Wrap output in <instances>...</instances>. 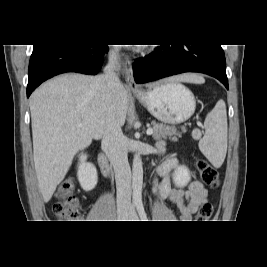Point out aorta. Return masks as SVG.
I'll return each instance as SVG.
<instances>
[{"label": "aorta", "instance_id": "obj_1", "mask_svg": "<svg viewBox=\"0 0 267 267\" xmlns=\"http://www.w3.org/2000/svg\"><path fill=\"white\" fill-rule=\"evenodd\" d=\"M142 185H143V167L142 160L139 153H136L133 158L132 165V188L133 200L136 202L142 199Z\"/></svg>", "mask_w": 267, "mask_h": 267}]
</instances>
